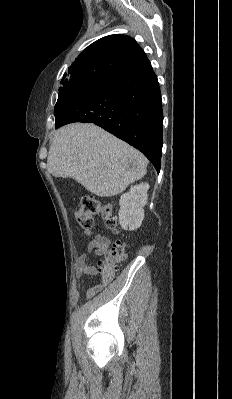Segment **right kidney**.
<instances>
[{
    "label": "right kidney",
    "instance_id": "right-kidney-1",
    "mask_svg": "<svg viewBox=\"0 0 232 399\" xmlns=\"http://www.w3.org/2000/svg\"><path fill=\"white\" fill-rule=\"evenodd\" d=\"M149 184L132 186L119 200V223L123 229H137L144 219V205L148 200Z\"/></svg>",
    "mask_w": 232,
    "mask_h": 399
}]
</instances>
